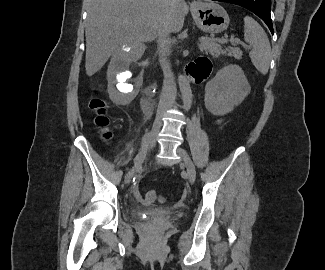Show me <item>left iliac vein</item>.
<instances>
[{"label": "left iliac vein", "instance_id": "left-iliac-vein-1", "mask_svg": "<svg viewBox=\"0 0 325 270\" xmlns=\"http://www.w3.org/2000/svg\"><path fill=\"white\" fill-rule=\"evenodd\" d=\"M177 153L180 155L181 160L184 162V164L186 166L190 183H194L195 178H196V170H195V166H194L191 158L189 157L187 152L180 147L177 148Z\"/></svg>", "mask_w": 325, "mask_h": 270}]
</instances>
